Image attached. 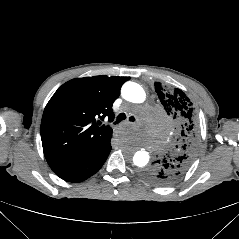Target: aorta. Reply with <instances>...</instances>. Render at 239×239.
Returning a JSON list of instances; mask_svg holds the SVG:
<instances>
[{
    "label": "aorta",
    "mask_w": 239,
    "mask_h": 239,
    "mask_svg": "<svg viewBox=\"0 0 239 239\" xmlns=\"http://www.w3.org/2000/svg\"><path fill=\"white\" fill-rule=\"evenodd\" d=\"M122 97L132 103H142L146 98L144 89L137 83L126 82L122 87ZM152 152L149 148H140L134 151L132 156V161L135 166L142 168L145 167L150 159Z\"/></svg>",
    "instance_id": "obj_1"
}]
</instances>
